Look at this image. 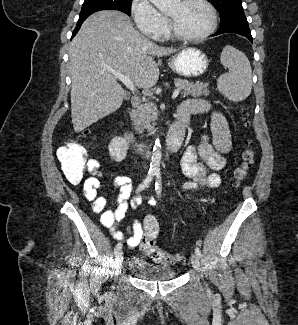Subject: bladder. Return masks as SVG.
Returning <instances> with one entry per match:
<instances>
[{
    "label": "bladder",
    "mask_w": 298,
    "mask_h": 325,
    "mask_svg": "<svg viewBox=\"0 0 298 325\" xmlns=\"http://www.w3.org/2000/svg\"><path fill=\"white\" fill-rule=\"evenodd\" d=\"M128 268L136 278L147 282L170 281L177 275L172 267L153 264L142 256H133L129 261Z\"/></svg>",
    "instance_id": "31cf9c89"
}]
</instances>
